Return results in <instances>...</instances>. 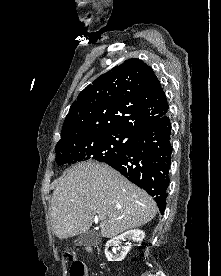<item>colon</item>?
Returning <instances> with one entry per match:
<instances>
[{
  "label": "colon",
  "instance_id": "colon-1",
  "mask_svg": "<svg viewBox=\"0 0 221 276\" xmlns=\"http://www.w3.org/2000/svg\"><path fill=\"white\" fill-rule=\"evenodd\" d=\"M65 261L71 263V276H87L85 266L77 261L75 252L66 250L63 254Z\"/></svg>",
  "mask_w": 221,
  "mask_h": 276
}]
</instances>
